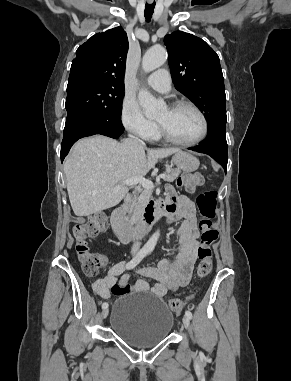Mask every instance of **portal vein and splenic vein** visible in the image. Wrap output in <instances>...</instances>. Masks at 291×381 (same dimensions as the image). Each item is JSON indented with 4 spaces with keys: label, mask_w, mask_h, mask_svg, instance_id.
<instances>
[{
    "label": "portal vein and splenic vein",
    "mask_w": 291,
    "mask_h": 381,
    "mask_svg": "<svg viewBox=\"0 0 291 381\" xmlns=\"http://www.w3.org/2000/svg\"><path fill=\"white\" fill-rule=\"evenodd\" d=\"M165 178H166L165 174L159 175L157 177V183L160 182V179H165ZM137 183H139L140 185H142L143 188L148 189V190L154 188L153 182L148 180V179H145L144 177L132 178V179H128L124 182V184H126L128 186L135 185ZM119 189H120L119 185L115 187V190H119Z\"/></svg>",
    "instance_id": "18ae733b"
}]
</instances>
